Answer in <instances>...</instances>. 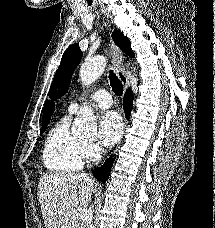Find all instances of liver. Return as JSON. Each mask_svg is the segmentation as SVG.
<instances>
[{"label": "liver", "instance_id": "liver-1", "mask_svg": "<svg viewBox=\"0 0 215 228\" xmlns=\"http://www.w3.org/2000/svg\"><path fill=\"white\" fill-rule=\"evenodd\" d=\"M96 180L87 174L48 172L41 176L38 198L45 228H76L77 208H87Z\"/></svg>", "mask_w": 215, "mask_h": 228}]
</instances>
